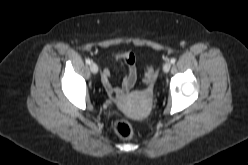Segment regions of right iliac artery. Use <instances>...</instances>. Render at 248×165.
<instances>
[{
    "instance_id": "right-iliac-artery-1",
    "label": "right iliac artery",
    "mask_w": 248,
    "mask_h": 165,
    "mask_svg": "<svg viewBox=\"0 0 248 165\" xmlns=\"http://www.w3.org/2000/svg\"><path fill=\"white\" fill-rule=\"evenodd\" d=\"M85 62H86L87 64H91V60H90V59H86Z\"/></svg>"
}]
</instances>
